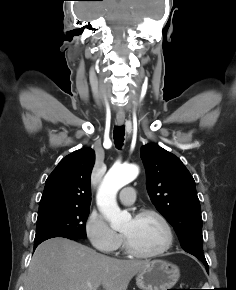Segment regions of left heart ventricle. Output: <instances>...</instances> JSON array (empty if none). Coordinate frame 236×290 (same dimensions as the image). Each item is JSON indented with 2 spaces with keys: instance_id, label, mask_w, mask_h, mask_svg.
I'll list each match as a JSON object with an SVG mask.
<instances>
[{
  "instance_id": "b2bd125f",
  "label": "left heart ventricle",
  "mask_w": 236,
  "mask_h": 290,
  "mask_svg": "<svg viewBox=\"0 0 236 290\" xmlns=\"http://www.w3.org/2000/svg\"><path fill=\"white\" fill-rule=\"evenodd\" d=\"M122 233L131 245L141 252H154L160 249L166 241L163 226L153 216L130 219Z\"/></svg>"
}]
</instances>
